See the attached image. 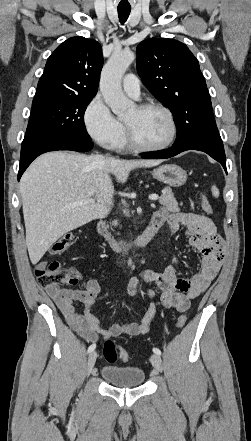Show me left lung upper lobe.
Returning a JSON list of instances; mask_svg holds the SVG:
<instances>
[{"label": "left lung upper lobe", "mask_w": 251, "mask_h": 441, "mask_svg": "<svg viewBox=\"0 0 251 441\" xmlns=\"http://www.w3.org/2000/svg\"><path fill=\"white\" fill-rule=\"evenodd\" d=\"M137 71L145 87L172 112L177 129L199 117L213 116L198 60L177 40L149 38L137 46Z\"/></svg>", "instance_id": "left-lung-upper-lobe-1"}]
</instances>
